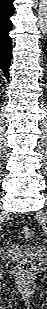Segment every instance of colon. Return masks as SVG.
Returning a JSON list of instances; mask_svg holds the SVG:
<instances>
[{
	"mask_svg": "<svg viewBox=\"0 0 47 309\" xmlns=\"http://www.w3.org/2000/svg\"><path fill=\"white\" fill-rule=\"evenodd\" d=\"M22 234L28 238L31 235V229L29 227H23ZM33 270V263L31 261H23L19 266V271L23 274H28Z\"/></svg>",
	"mask_w": 47,
	"mask_h": 309,
	"instance_id": "colon-1",
	"label": "colon"
}]
</instances>
